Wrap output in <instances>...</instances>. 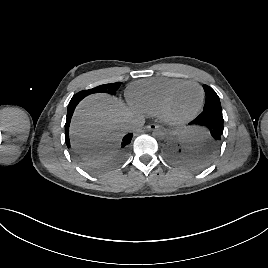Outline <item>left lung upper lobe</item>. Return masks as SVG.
<instances>
[{"label": "left lung upper lobe", "mask_w": 268, "mask_h": 268, "mask_svg": "<svg viewBox=\"0 0 268 268\" xmlns=\"http://www.w3.org/2000/svg\"><path fill=\"white\" fill-rule=\"evenodd\" d=\"M205 95H206V101L203 108V111L205 110H222L221 103L218 95L216 92L209 87L208 85H203Z\"/></svg>", "instance_id": "left-lung-upper-lobe-1"}]
</instances>
